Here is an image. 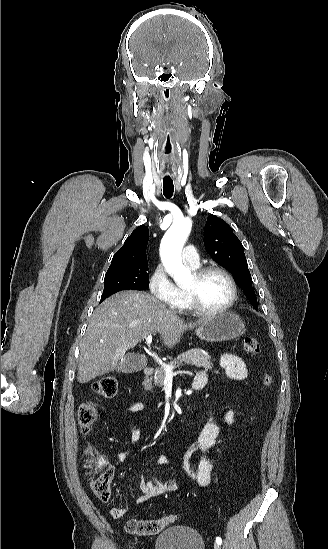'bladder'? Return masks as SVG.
<instances>
[{"instance_id": "obj_1", "label": "bladder", "mask_w": 328, "mask_h": 549, "mask_svg": "<svg viewBox=\"0 0 328 549\" xmlns=\"http://www.w3.org/2000/svg\"><path fill=\"white\" fill-rule=\"evenodd\" d=\"M155 549H204L199 532L191 527L178 526L157 535Z\"/></svg>"}]
</instances>
